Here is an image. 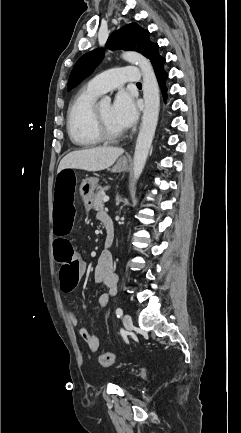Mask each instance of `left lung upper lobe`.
<instances>
[{
  "instance_id": "obj_1",
  "label": "left lung upper lobe",
  "mask_w": 241,
  "mask_h": 433,
  "mask_svg": "<svg viewBox=\"0 0 241 433\" xmlns=\"http://www.w3.org/2000/svg\"><path fill=\"white\" fill-rule=\"evenodd\" d=\"M106 47L109 49H123L140 52L150 59L155 74L164 71L165 58L158 53L159 46L149 39V32L140 28L136 23L128 24L111 34ZM103 51L101 49L84 54L75 64L68 82V89L74 87L85 77L90 75L101 62Z\"/></svg>"
}]
</instances>
